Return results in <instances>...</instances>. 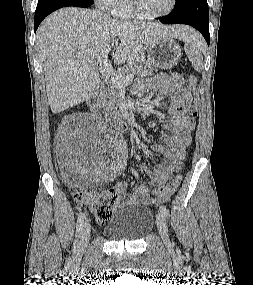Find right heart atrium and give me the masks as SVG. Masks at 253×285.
<instances>
[{
	"label": "right heart atrium",
	"instance_id": "obj_1",
	"mask_svg": "<svg viewBox=\"0 0 253 285\" xmlns=\"http://www.w3.org/2000/svg\"><path fill=\"white\" fill-rule=\"evenodd\" d=\"M96 5L102 10H111L116 0H94Z\"/></svg>",
	"mask_w": 253,
	"mask_h": 285
}]
</instances>
